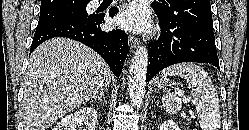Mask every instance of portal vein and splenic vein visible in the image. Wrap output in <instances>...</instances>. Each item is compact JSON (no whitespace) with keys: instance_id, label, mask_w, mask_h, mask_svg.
<instances>
[{"instance_id":"18ae733b","label":"portal vein and splenic vein","mask_w":249,"mask_h":130,"mask_svg":"<svg viewBox=\"0 0 249 130\" xmlns=\"http://www.w3.org/2000/svg\"><path fill=\"white\" fill-rule=\"evenodd\" d=\"M183 101H184V103H187V102L189 101V99H188V98H185ZM190 114H191V115H194V113H193L192 111H190Z\"/></svg>"}]
</instances>
